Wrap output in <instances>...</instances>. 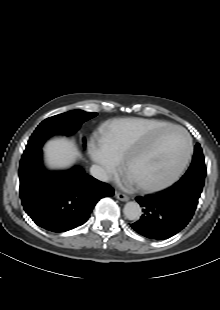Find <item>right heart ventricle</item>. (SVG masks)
Listing matches in <instances>:
<instances>
[{"instance_id":"1","label":"right heart ventricle","mask_w":220,"mask_h":310,"mask_svg":"<svg viewBox=\"0 0 220 310\" xmlns=\"http://www.w3.org/2000/svg\"><path fill=\"white\" fill-rule=\"evenodd\" d=\"M169 126L165 122L155 120H142L130 125L118 128L109 136L102 147L105 148L117 161L124 158L135 142L143 136L154 133Z\"/></svg>"}]
</instances>
